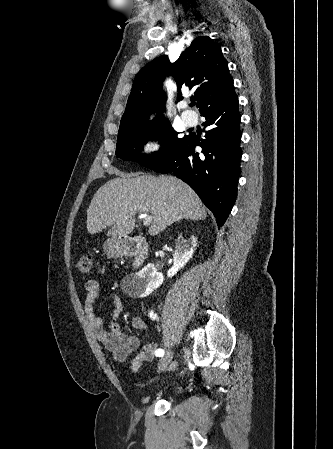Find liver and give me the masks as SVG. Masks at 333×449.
<instances>
[{
	"mask_svg": "<svg viewBox=\"0 0 333 449\" xmlns=\"http://www.w3.org/2000/svg\"><path fill=\"white\" fill-rule=\"evenodd\" d=\"M112 179L97 190L87 210L90 234L111 227L113 238L130 234L136 213H150L149 234L154 236L180 219L204 220L206 211L197 194L173 176L139 175Z\"/></svg>",
	"mask_w": 333,
	"mask_h": 449,
	"instance_id": "obj_1",
	"label": "liver"
}]
</instances>
